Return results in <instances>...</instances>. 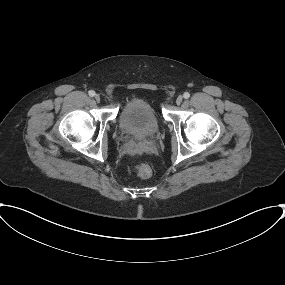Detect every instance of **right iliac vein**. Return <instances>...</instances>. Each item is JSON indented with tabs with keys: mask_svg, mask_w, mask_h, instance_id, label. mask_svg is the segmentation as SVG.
I'll return each mask as SVG.
<instances>
[{
	"mask_svg": "<svg viewBox=\"0 0 285 285\" xmlns=\"http://www.w3.org/2000/svg\"><path fill=\"white\" fill-rule=\"evenodd\" d=\"M95 100H96L97 102H100V96H99L98 94L95 95Z\"/></svg>",
	"mask_w": 285,
	"mask_h": 285,
	"instance_id": "63e3f726",
	"label": "right iliac vein"
}]
</instances>
